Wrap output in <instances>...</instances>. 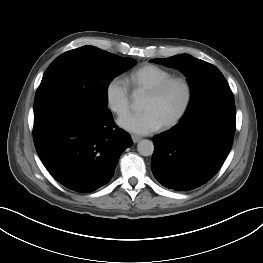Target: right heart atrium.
I'll return each instance as SVG.
<instances>
[{
	"instance_id": "d8ad5b80",
	"label": "right heart atrium",
	"mask_w": 263,
	"mask_h": 263,
	"mask_svg": "<svg viewBox=\"0 0 263 263\" xmlns=\"http://www.w3.org/2000/svg\"><path fill=\"white\" fill-rule=\"evenodd\" d=\"M108 109L117 116L127 113L130 106V95L125 82L120 77L111 78L104 91Z\"/></svg>"
}]
</instances>
